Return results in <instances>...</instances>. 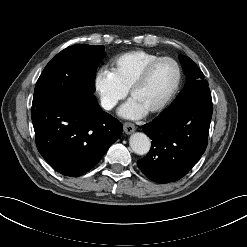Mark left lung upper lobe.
Segmentation results:
<instances>
[{
  "label": "left lung upper lobe",
  "mask_w": 247,
  "mask_h": 247,
  "mask_svg": "<svg viewBox=\"0 0 247 247\" xmlns=\"http://www.w3.org/2000/svg\"><path fill=\"white\" fill-rule=\"evenodd\" d=\"M179 59L188 82L169 107H174L192 96L195 92L203 88H208V82L204 80V75L196 64L189 57L183 55H180Z\"/></svg>",
  "instance_id": "left-lung-upper-lobe-1"
}]
</instances>
